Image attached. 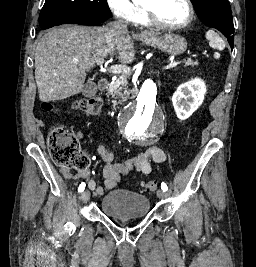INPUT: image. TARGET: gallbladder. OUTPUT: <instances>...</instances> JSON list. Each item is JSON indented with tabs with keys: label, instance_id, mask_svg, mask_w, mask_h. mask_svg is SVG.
Returning <instances> with one entry per match:
<instances>
[{
	"label": "gallbladder",
	"instance_id": "obj_1",
	"mask_svg": "<svg viewBox=\"0 0 256 267\" xmlns=\"http://www.w3.org/2000/svg\"><path fill=\"white\" fill-rule=\"evenodd\" d=\"M97 92V86L96 84H85L82 94L85 96V98H91V96H95Z\"/></svg>",
	"mask_w": 256,
	"mask_h": 267
}]
</instances>
